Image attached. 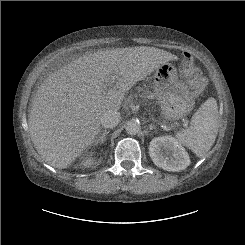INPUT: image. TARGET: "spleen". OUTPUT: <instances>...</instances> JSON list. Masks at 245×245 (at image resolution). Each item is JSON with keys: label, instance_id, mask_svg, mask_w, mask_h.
<instances>
[{"label": "spleen", "instance_id": "obj_1", "mask_svg": "<svg viewBox=\"0 0 245 245\" xmlns=\"http://www.w3.org/2000/svg\"><path fill=\"white\" fill-rule=\"evenodd\" d=\"M218 133V106L214 98H208L192 116L190 127L176 133V139L198 157L208 152Z\"/></svg>", "mask_w": 245, "mask_h": 245}]
</instances>
